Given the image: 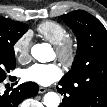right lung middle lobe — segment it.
Listing matches in <instances>:
<instances>
[{
    "mask_svg": "<svg viewBox=\"0 0 107 107\" xmlns=\"http://www.w3.org/2000/svg\"><path fill=\"white\" fill-rule=\"evenodd\" d=\"M7 37L0 40V82L6 78V73L15 68L13 45L28 30V25L5 19Z\"/></svg>",
    "mask_w": 107,
    "mask_h": 107,
    "instance_id": "dd1d6c3e",
    "label": "right lung middle lobe"
}]
</instances>
